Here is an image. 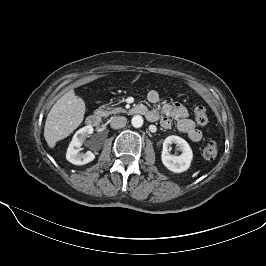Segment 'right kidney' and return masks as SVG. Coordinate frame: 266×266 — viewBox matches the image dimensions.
Returning a JSON list of instances; mask_svg holds the SVG:
<instances>
[{
  "label": "right kidney",
  "mask_w": 266,
  "mask_h": 266,
  "mask_svg": "<svg viewBox=\"0 0 266 266\" xmlns=\"http://www.w3.org/2000/svg\"><path fill=\"white\" fill-rule=\"evenodd\" d=\"M93 133V127L91 125L85 126L79 129L73 136L72 141L70 142L66 159L74 165H84L95 159V154L91 151L86 153L80 152V147L85 141L86 137Z\"/></svg>",
  "instance_id": "1"
}]
</instances>
